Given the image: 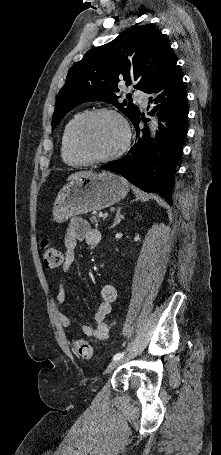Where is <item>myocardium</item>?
Instances as JSON below:
<instances>
[{
    "instance_id": "obj_1",
    "label": "myocardium",
    "mask_w": 221,
    "mask_h": 455,
    "mask_svg": "<svg viewBox=\"0 0 221 455\" xmlns=\"http://www.w3.org/2000/svg\"><path fill=\"white\" fill-rule=\"evenodd\" d=\"M99 115H111L117 118L123 128L124 140L122 145L113 153L102 157H92L88 155L82 148L80 143V134L85 123ZM131 138H132L131 129L127 119L119 111L107 107L93 109L82 114L80 118L76 121L72 131L73 148L75 152L88 164L106 163L117 159L128 150L131 143Z\"/></svg>"
}]
</instances>
